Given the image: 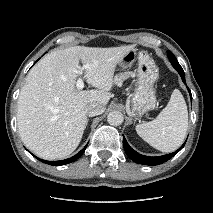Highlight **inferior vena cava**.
<instances>
[{
	"instance_id": "1",
	"label": "inferior vena cava",
	"mask_w": 213,
	"mask_h": 213,
	"mask_svg": "<svg viewBox=\"0 0 213 213\" xmlns=\"http://www.w3.org/2000/svg\"><path fill=\"white\" fill-rule=\"evenodd\" d=\"M104 110L105 107L98 103H90L85 108L86 114L91 117L102 114Z\"/></svg>"
}]
</instances>
